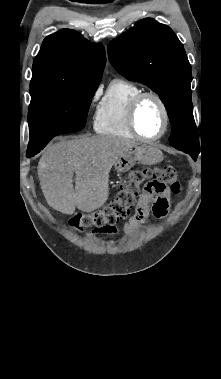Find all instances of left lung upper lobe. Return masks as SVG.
<instances>
[{
  "label": "left lung upper lobe",
  "mask_w": 221,
  "mask_h": 379,
  "mask_svg": "<svg viewBox=\"0 0 221 379\" xmlns=\"http://www.w3.org/2000/svg\"><path fill=\"white\" fill-rule=\"evenodd\" d=\"M113 67L156 92L172 124L170 144L196 159L200 144L191 101V65L183 44L167 25L146 18L108 47Z\"/></svg>",
  "instance_id": "obj_1"
}]
</instances>
